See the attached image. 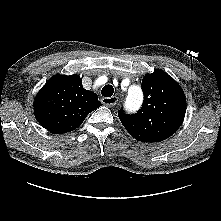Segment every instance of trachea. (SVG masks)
<instances>
[{"mask_svg": "<svg viewBox=\"0 0 221 221\" xmlns=\"http://www.w3.org/2000/svg\"><path fill=\"white\" fill-rule=\"evenodd\" d=\"M113 93H114V88L112 87V85H105L101 91V94L104 97H111Z\"/></svg>", "mask_w": 221, "mask_h": 221, "instance_id": "obj_1", "label": "trachea"}]
</instances>
